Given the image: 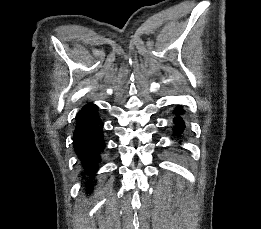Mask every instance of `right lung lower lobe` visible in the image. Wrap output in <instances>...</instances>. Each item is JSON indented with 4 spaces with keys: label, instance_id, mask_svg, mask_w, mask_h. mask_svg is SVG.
<instances>
[{
    "label": "right lung lower lobe",
    "instance_id": "right-lung-lower-lobe-1",
    "mask_svg": "<svg viewBox=\"0 0 261 229\" xmlns=\"http://www.w3.org/2000/svg\"><path fill=\"white\" fill-rule=\"evenodd\" d=\"M102 125L97 106L94 104H86L76 116L73 148L83 169L82 174L89 176L84 183L87 194H91L94 190L100 154L105 148Z\"/></svg>",
    "mask_w": 261,
    "mask_h": 229
}]
</instances>
